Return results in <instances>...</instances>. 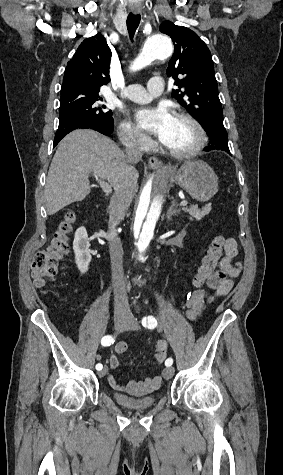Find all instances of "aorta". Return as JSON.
<instances>
[{"label":"aorta","mask_w":283,"mask_h":475,"mask_svg":"<svg viewBox=\"0 0 283 475\" xmlns=\"http://www.w3.org/2000/svg\"><path fill=\"white\" fill-rule=\"evenodd\" d=\"M172 53L173 44L169 37L161 34L153 35L145 42L130 70H140L154 60L170 57ZM171 185L167 169L161 168L148 178L141 190L130 225L132 243L141 256L155 235Z\"/></svg>","instance_id":"aorta-1"}]
</instances>
